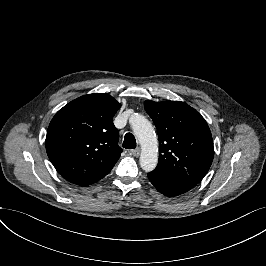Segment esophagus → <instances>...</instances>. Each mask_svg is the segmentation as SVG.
Listing matches in <instances>:
<instances>
[{"mask_svg": "<svg viewBox=\"0 0 266 266\" xmlns=\"http://www.w3.org/2000/svg\"><path fill=\"white\" fill-rule=\"evenodd\" d=\"M129 153H130V155H132L134 157H138L140 155V150L134 149V150H131Z\"/></svg>", "mask_w": 266, "mask_h": 266, "instance_id": "esophagus-1", "label": "esophagus"}]
</instances>
